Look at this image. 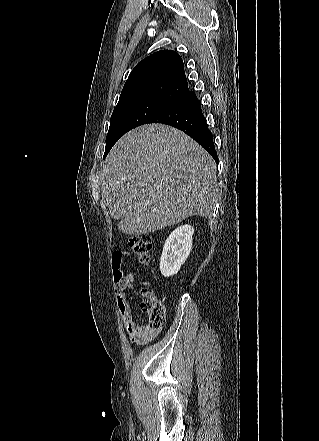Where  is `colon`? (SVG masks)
I'll use <instances>...</instances> for the list:
<instances>
[{"mask_svg": "<svg viewBox=\"0 0 319 441\" xmlns=\"http://www.w3.org/2000/svg\"><path fill=\"white\" fill-rule=\"evenodd\" d=\"M129 245L142 264H149L153 241L148 235L134 236ZM114 282L117 288L123 287V271L120 265L113 264ZM141 309L148 315L149 325L153 328H161L166 320L167 308L163 301L159 300L148 286L141 289Z\"/></svg>", "mask_w": 319, "mask_h": 441, "instance_id": "1", "label": "colon"}]
</instances>
